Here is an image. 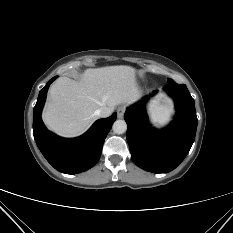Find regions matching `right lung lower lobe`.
<instances>
[{"instance_id": "98d812e1", "label": "right lung lower lobe", "mask_w": 233, "mask_h": 233, "mask_svg": "<svg viewBox=\"0 0 233 233\" xmlns=\"http://www.w3.org/2000/svg\"><path fill=\"white\" fill-rule=\"evenodd\" d=\"M52 78L41 89L33 110V134L37 146L47 161L58 171L77 174L93 167L99 160L104 140L116 120V113L99 119L82 136L65 139L49 132L41 119V111Z\"/></svg>"}]
</instances>
